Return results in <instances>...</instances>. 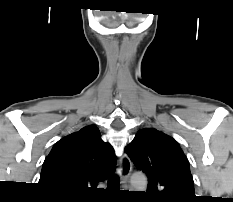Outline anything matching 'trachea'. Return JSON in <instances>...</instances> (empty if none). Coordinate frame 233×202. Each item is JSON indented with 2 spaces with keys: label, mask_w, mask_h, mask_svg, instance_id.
Returning <instances> with one entry per match:
<instances>
[{
  "label": "trachea",
  "mask_w": 233,
  "mask_h": 202,
  "mask_svg": "<svg viewBox=\"0 0 233 202\" xmlns=\"http://www.w3.org/2000/svg\"><path fill=\"white\" fill-rule=\"evenodd\" d=\"M108 186L112 188H118L119 187V178L117 175H111L108 179Z\"/></svg>",
  "instance_id": "3493384b"
}]
</instances>
